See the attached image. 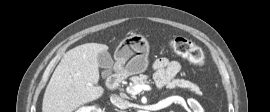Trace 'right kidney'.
Segmentation results:
<instances>
[{
  "label": "right kidney",
  "instance_id": "1",
  "mask_svg": "<svg viewBox=\"0 0 270 112\" xmlns=\"http://www.w3.org/2000/svg\"><path fill=\"white\" fill-rule=\"evenodd\" d=\"M76 112H103V111L100 108H97L95 106H90V107L79 109Z\"/></svg>",
  "mask_w": 270,
  "mask_h": 112
}]
</instances>
